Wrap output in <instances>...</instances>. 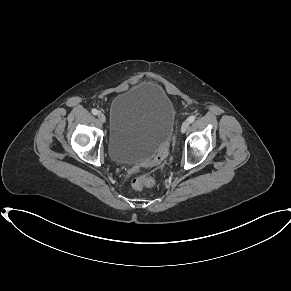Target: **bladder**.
Masks as SVG:
<instances>
[{
  "instance_id": "bladder-1",
  "label": "bladder",
  "mask_w": 291,
  "mask_h": 291,
  "mask_svg": "<svg viewBox=\"0 0 291 291\" xmlns=\"http://www.w3.org/2000/svg\"><path fill=\"white\" fill-rule=\"evenodd\" d=\"M175 118L169 97L154 83H138L110 106L108 154L117 164H139L171 140Z\"/></svg>"
}]
</instances>
